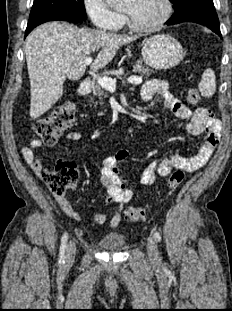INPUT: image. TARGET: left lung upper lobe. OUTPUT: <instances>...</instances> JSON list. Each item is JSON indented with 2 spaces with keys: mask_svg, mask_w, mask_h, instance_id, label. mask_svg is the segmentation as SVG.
<instances>
[{
  "mask_svg": "<svg viewBox=\"0 0 232 311\" xmlns=\"http://www.w3.org/2000/svg\"><path fill=\"white\" fill-rule=\"evenodd\" d=\"M185 1L186 0H170V2L173 4L174 9L182 5Z\"/></svg>",
  "mask_w": 232,
  "mask_h": 311,
  "instance_id": "1",
  "label": "left lung upper lobe"
}]
</instances>
